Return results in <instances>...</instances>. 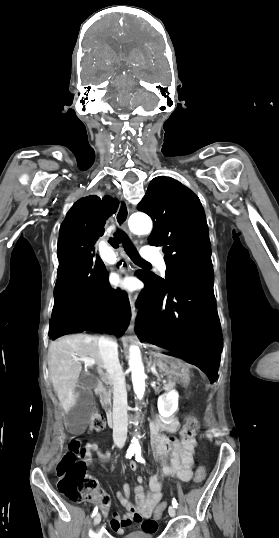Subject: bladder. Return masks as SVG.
<instances>
[{
  "label": "bladder",
  "mask_w": 279,
  "mask_h": 538,
  "mask_svg": "<svg viewBox=\"0 0 279 538\" xmlns=\"http://www.w3.org/2000/svg\"><path fill=\"white\" fill-rule=\"evenodd\" d=\"M124 538H154L153 532H126Z\"/></svg>",
  "instance_id": "31cf9c89"
}]
</instances>
